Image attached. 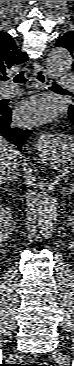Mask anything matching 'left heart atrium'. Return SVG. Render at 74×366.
I'll return each mask as SVG.
<instances>
[{
	"label": "left heart atrium",
	"instance_id": "left-heart-atrium-1",
	"mask_svg": "<svg viewBox=\"0 0 74 366\" xmlns=\"http://www.w3.org/2000/svg\"><path fill=\"white\" fill-rule=\"evenodd\" d=\"M55 115L53 102L44 97L33 98L24 102L17 109V118L22 123H42L51 120Z\"/></svg>",
	"mask_w": 74,
	"mask_h": 366
}]
</instances>
